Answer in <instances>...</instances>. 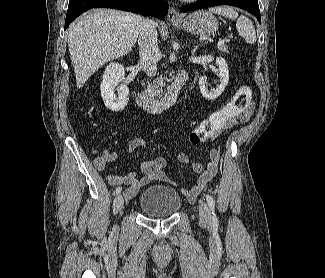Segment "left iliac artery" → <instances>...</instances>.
<instances>
[{
	"label": "left iliac artery",
	"instance_id": "left-iliac-artery-1",
	"mask_svg": "<svg viewBox=\"0 0 325 278\" xmlns=\"http://www.w3.org/2000/svg\"><path fill=\"white\" fill-rule=\"evenodd\" d=\"M206 200H207V203H208L209 208L211 210L212 221H217V217H216V214H215V202H214L213 198L209 194H207L206 195Z\"/></svg>",
	"mask_w": 325,
	"mask_h": 278
}]
</instances>
